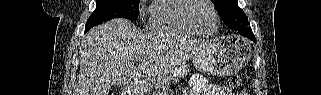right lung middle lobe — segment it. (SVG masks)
I'll return each instance as SVG.
<instances>
[{
  "mask_svg": "<svg viewBox=\"0 0 321 95\" xmlns=\"http://www.w3.org/2000/svg\"><path fill=\"white\" fill-rule=\"evenodd\" d=\"M140 0H96V9L87 20L85 32L105 21L123 17L136 20Z\"/></svg>",
  "mask_w": 321,
  "mask_h": 95,
  "instance_id": "dd1d6c3e",
  "label": "right lung middle lobe"
}]
</instances>
